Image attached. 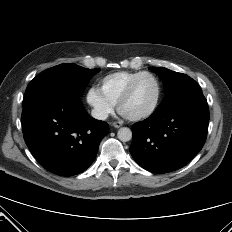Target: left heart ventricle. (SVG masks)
<instances>
[{
    "label": "left heart ventricle",
    "instance_id": "obj_1",
    "mask_svg": "<svg viewBox=\"0 0 232 232\" xmlns=\"http://www.w3.org/2000/svg\"><path fill=\"white\" fill-rule=\"evenodd\" d=\"M157 95V85L149 76L141 77L133 90L131 97L123 104L122 112L125 115L141 114L153 105Z\"/></svg>",
    "mask_w": 232,
    "mask_h": 232
}]
</instances>
